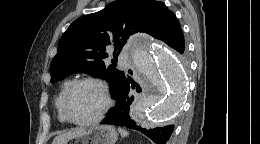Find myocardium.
Segmentation results:
<instances>
[{"label":"myocardium","instance_id":"f54148a6","mask_svg":"<svg viewBox=\"0 0 260 144\" xmlns=\"http://www.w3.org/2000/svg\"><path fill=\"white\" fill-rule=\"evenodd\" d=\"M82 84H91L93 86H95L102 97V107L99 110V112L97 113V115H95L93 118L87 119V120H82V121H77L71 118V116L68 113L67 110V103L68 100L71 96V94L73 93V91ZM111 104V100L108 94V90L105 86V84L100 81L99 79L96 78H92V77H85V78H80L75 80L67 89V91L65 92L63 99H62V103H61V110L63 113L64 118L66 119L67 122L74 124V125H78V126H86V125H91L94 123H97L98 121H100L102 119V117L105 115V113L107 112V110L109 109Z\"/></svg>","mask_w":260,"mask_h":144}]
</instances>
